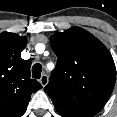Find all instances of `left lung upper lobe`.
Wrapping results in <instances>:
<instances>
[{"label": "left lung upper lobe", "mask_w": 117, "mask_h": 117, "mask_svg": "<svg viewBox=\"0 0 117 117\" xmlns=\"http://www.w3.org/2000/svg\"><path fill=\"white\" fill-rule=\"evenodd\" d=\"M58 57L44 91L63 117H93L109 99L116 68L104 44L80 27L50 36Z\"/></svg>", "instance_id": "1"}]
</instances>
